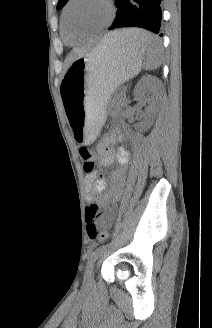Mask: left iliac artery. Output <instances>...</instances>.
<instances>
[{
    "mask_svg": "<svg viewBox=\"0 0 212 328\" xmlns=\"http://www.w3.org/2000/svg\"><path fill=\"white\" fill-rule=\"evenodd\" d=\"M109 246H110V244L103 245V246L97 248L94 252H92V254L90 255V258L87 262V266H86V270H85V279L87 278L90 270L93 268L94 263L97 260L98 256L101 253H103Z\"/></svg>",
    "mask_w": 212,
    "mask_h": 328,
    "instance_id": "44dca946",
    "label": "left iliac artery"
}]
</instances>
